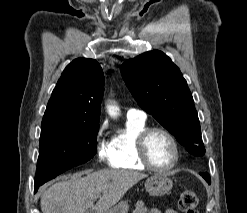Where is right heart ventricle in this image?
Masks as SVG:
<instances>
[{
	"label": "right heart ventricle",
	"mask_w": 247,
	"mask_h": 213,
	"mask_svg": "<svg viewBox=\"0 0 247 213\" xmlns=\"http://www.w3.org/2000/svg\"><path fill=\"white\" fill-rule=\"evenodd\" d=\"M145 128H147L145 120L127 119L125 127L118 131L109 142L111 167L133 171L145 169L136 155V139Z\"/></svg>",
	"instance_id": "1"
}]
</instances>
